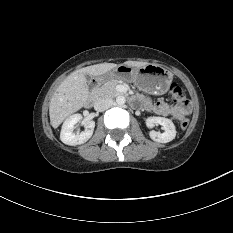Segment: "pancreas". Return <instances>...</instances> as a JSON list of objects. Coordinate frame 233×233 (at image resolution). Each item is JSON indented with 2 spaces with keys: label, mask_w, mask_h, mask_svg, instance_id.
Listing matches in <instances>:
<instances>
[{
  "label": "pancreas",
  "mask_w": 233,
  "mask_h": 233,
  "mask_svg": "<svg viewBox=\"0 0 233 233\" xmlns=\"http://www.w3.org/2000/svg\"><path fill=\"white\" fill-rule=\"evenodd\" d=\"M119 80H111L106 82L104 85H102L99 88H96L93 91V95L95 98H114L118 95H120V92L117 91L116 86L119 83Z\"/></svg>",
  "instance_id": "pancreas-1"
}]
</instances>
